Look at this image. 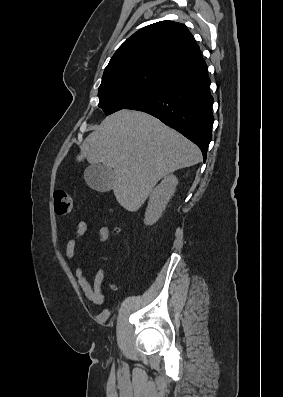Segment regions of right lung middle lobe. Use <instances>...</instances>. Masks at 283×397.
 I'll use <instances>...</instances> for the list:
<instances>
[{
    "instance_id": "right-lung-middle-lobe-1",
    "label": "right lung middle lobe",
    "mask_w": 283,
    "mask_h": 397,
    "mask_svg": "<svg viewBox=\"0 0 283 397\" xmlns=\"http://www.w3.org/2000/svg\"><path fill=\"white\" fill-rule=\"evenodd\" d=\"M168 81L147 74L116 75L102 79L98 106L106 115L129 105L160 88Z\"/></svg>"
}]
</instances>
